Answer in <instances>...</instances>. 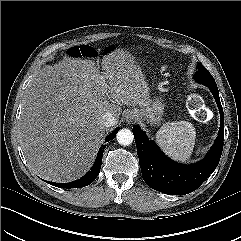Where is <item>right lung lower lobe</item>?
<instances>
[{
	"label": "right lung lower lobe",
	"mask_w": 241,
	"mask_h": 241,
	"mask_svg": "<svg viewBox=\"0 0 241 241\" xmlns=\"http://www.w3.org/2000/svg\"><path fill=\"white\" fill-rule=\"evenodd\" d=\"M117 132H118V128L115 129L111 134H109L107 136V138L105 139V141L108 142V141L114 139ZM105 147H106V145H102V147H100L98 155L96 157V161H95L94 165L92 166L91 170L87 174H85L83 177H81L79 180H76V181H73L70 183H54V182H48V181H46V182L53 186L59 187V188H81V187L88 186L99 175V171L101 169L103 151H104Z\"/></svg>",
	"instance_id": "98d812e1"
}]
</instances>
